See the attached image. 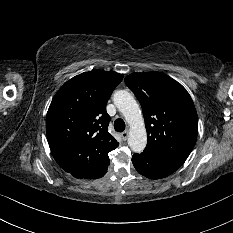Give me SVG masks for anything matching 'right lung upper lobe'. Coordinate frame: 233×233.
I'll return each mask as SVG.
<instances>
[{
    "label": "right lung upper lobe",
    "mask_w": 233,
    "mask_h": 233,
    "mask_svg": "<svg viewBox=\"0 0 233 233\" xmlns=\"http://www.w3.org/2000/svg\"><path fill=\"white\" fill-rule=\"evenodd\" d=\"M123 75L93 70L67 81L54 96L46 121L51 152L76 178L95 179L107 172L108 153L119 143L108 132L106 104Z\"/></svg>",
    "instance_id": "right-lung-upper-lobe-1"
}]
</instances>
